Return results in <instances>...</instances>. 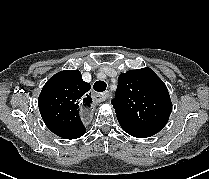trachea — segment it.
Here are the masks:
<instances>
[{"label": "trachea", "instance_id": "1", "mask_svg": "<svg viewBox=\"0 0 209 179\" xmlns=\"http://www.w3.org/2000/svg\"><path fill=\"white\" fill-rule=\"evenodd\" d=\"M93 87L95 91L103 92L106 90L107 84L104 81H96Z\"/></svg>", "mask_w": 209, "mask_h": 179}]
</instances>
